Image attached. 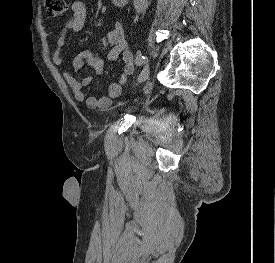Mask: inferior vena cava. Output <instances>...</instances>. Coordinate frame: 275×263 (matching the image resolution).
<instances>
[{
  "instance_id": "inferior-vena-cava-1",
  "label": "inferior vena cava",
  "mask_w": 275,
  "mask_h": 263,
  "mask_svg": "<svg viewBox=\"0 0 275 263\" xmlns=\"http://www.w3.org/2000/svg\"><path fill=\"white\" fill-rule=\"evenodd\" d=\"M133 3L138 13H144L147 8L148 0H133Z\"/></svg>"
}]
</instances>
